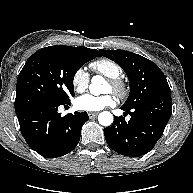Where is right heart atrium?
Returning <instances> with one entry per match:
<instances>
[{
    "label": "right heart atrium",
    "mask_w": 193,
    "mask_h": 193,
    "mask_svg": "<svg viewBox=\"0 0 193 193\" xmlns=\"http://www.w3.org/2000/svg\"><path fill=\"white\" fill-rule=\"evenodd\" d=\"M71 84L76 92H84L89 85V74L84 67L77 68L71 78Z\"/></svg>",
    "instance_id": "1"
}]
</instances>
